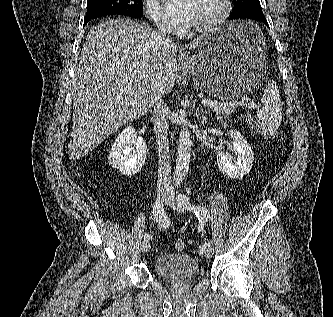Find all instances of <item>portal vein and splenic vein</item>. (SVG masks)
<instances>
[{
  "label": "portal vein and splenic vein",
  "instance_id": "18ae733b",
  "mask_svg": "<svg viewBox=\"0 0 333 317\" xmlns=\"http://www.w3.org/2000/svg\"><path fill=\"white\" fill-rule=\"evenodd\" d=\"M217 101H213V100H210V99H202V104L203 105H212V104H216ZM231 105H234V106H245L249 109H258L259 106L257 104H254V103H242L241 101H233L232 103H230Z\"/></svg>",
  "mask_w": 333,
  "mask_h": 317
}]
</instances>
